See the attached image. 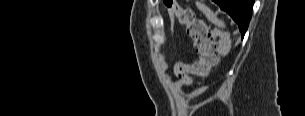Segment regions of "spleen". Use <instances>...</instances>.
I'll return each mask as SVG.
<instances>
[{
    "label": "spleen",
    "instance_id": "obj_1",
    "mask_svg": "<svg viewBox=\"0 0 305 116\" xmlns=\"http://www.w3.org/2000/svg\"><path fill=\"white\" fill-rule=\"evenodd\" d=\"M199 9L205 14L207 19L220 28H224L225 24L223 21L219 20L214 13L205 5H199Z\"/></svg>",
    "mask_w": 305,
    "mask_h": 116
}]
</instances>
